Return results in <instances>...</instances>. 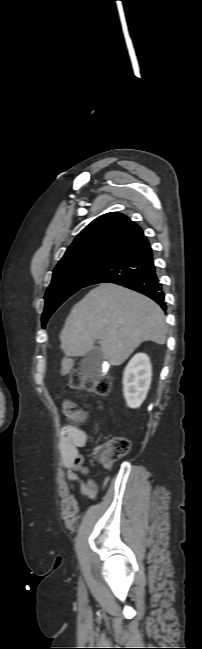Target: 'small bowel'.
<instances>
[{
  "mask_svg": "<svg viewBox=\"0 0 202 649\" xmlns=\"http://www.w3.org/2000/svg\"><path fill=\"white\" fill-rule=\"evenodd\" d=\"M88 440V434L84 430L66 425L61 430L59 447L62 462L67 469V481L78 483L81 494L95 502L99 495V486L90 477V470L84 464V457L79 451L87 445ZM69 489L75 493L72 484H69Z\"/></svg>",
  "mask_w": 202,
  "mask_h": 649,
  "instance_id": "c3829d8e",
  "label": "small bowel"
}]
</instances>
